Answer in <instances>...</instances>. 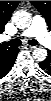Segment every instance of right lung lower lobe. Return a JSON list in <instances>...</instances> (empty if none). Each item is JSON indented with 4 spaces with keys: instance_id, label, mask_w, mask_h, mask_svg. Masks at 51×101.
<instances>
[{
    "instance_id": "1",
    "label": "right lung lower lobe",
    "mask_w": 51,
    "mask_h": 101,
    "mask_svg": "<svg viewBox=\"0 0 51 101\" xmlns=\"http://www.w3.org/2000/svg\"><path fill=\"white\" fill-rule=\"evenodd\" d=\"M15 59H16V56H15V58H13L11 60V62L6 67H4V69L1 71V75L2 76H5L11 70V68H12V66L14 64Z\"/></svg>"
}]
</instances>
